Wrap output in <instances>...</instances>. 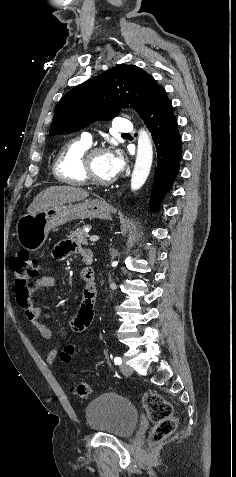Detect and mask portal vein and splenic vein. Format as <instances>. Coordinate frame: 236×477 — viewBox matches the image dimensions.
<instances>
[{
    "label": "portal vein and splenic vein",
    "mask_w": 236,
    "mask_h": 477,
    "mask_svg": "<svg viewBox=\"0 0 236 477\" xmlns=\"http://www.w3.org/2000/svg\"><path fill=\"white\" fill-rule=\"evenodd\" d=\"M99 238H100V237L97 236V235H92L89 240H90L91 242H96V241L99 240Z\"/></svg>",
    "instance_id": "1"
}]
</instances>
